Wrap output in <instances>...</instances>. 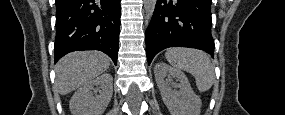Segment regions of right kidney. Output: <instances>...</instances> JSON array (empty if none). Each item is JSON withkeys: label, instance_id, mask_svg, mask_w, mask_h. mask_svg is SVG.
<instances>
[{"label": "right kidney", "instance_id": "right-kidney-1", "mask_svg": "<svg viewBox=\"0 0 285 115\" xmlns=\"http://www.w3.org/2000/svg\"><path fill=\"white\" fill-rule=\"evenodd\" d=\"M113 77L105 73L81 86L72 96L69 108L72 115H102L113 93ZM100 86V93L93 92Z\"/></svg>", "mask_w": 285, "mask_h": 115}]
</instances>
